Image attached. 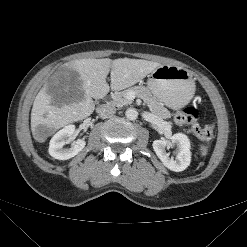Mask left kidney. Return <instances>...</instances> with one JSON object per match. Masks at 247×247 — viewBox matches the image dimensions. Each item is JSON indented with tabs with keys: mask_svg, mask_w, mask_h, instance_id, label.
Returning a JSON list of instances; mask_svg holds the SVG:
<instances>
[{
	"mask_svg": "<svg viewBox=\"0 0 247 247\" xmlns=\"http://www.w3.org/2000/svg\"><path fill=\"white\" fill-rule=\"evenodd\" d=\"M177 146L176 157H170V153L166 151V148ZM190 140L182 133L174 134L170 140L159 139L153 142V149L161 160L163 165L168 169L180 172L185 170L191 162Z\"/></svg>",
	"mask_w": 247,
	"mask_h": 247,
	"instance_id": "left-kidney-1",
	"label": "left kidney"
}]
</instances>
